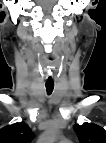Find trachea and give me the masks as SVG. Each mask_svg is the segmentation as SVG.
Segmentation results:
<instances>
[{
  "label": "trachea",
  "mask_w": 106,
  "mask_h": 143,
  "mask_svg": "<svg viewBox=\"0 0 106 143\" xmlns=\"http://www.w3.org/2000/svg\"><path fill=\"white\" fill-rule=\"evenodd\" d=\"M45 86H46L47 93L51 94L54 89V83L52 84L46 83Z\"/></svg>",
  "instance_id": "3493384b"
}]
</instances>
